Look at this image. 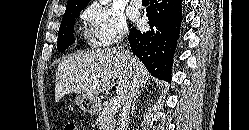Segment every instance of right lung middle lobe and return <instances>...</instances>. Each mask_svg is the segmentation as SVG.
<instances>
[{
    "mask_svg": "<svg viewBox=\"0 0 249 130\" xmlns=\"http://www.w3.org/2000/svg\"><path fill=\"white\" fill-rule=\"evenodd\" d=\"M85 7L82 6H66V11L61 22L58 32L57 48L58 51L66 50L74 43V23L80 11Z\"/></svg>",
    "mask_w": 249,
    "mask_h": 130,
    "instance_id": "right-lung-middle-lobe-1",
    "label": "right lung middle lobe"
}]
</instances>
